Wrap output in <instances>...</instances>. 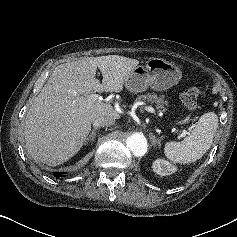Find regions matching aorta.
<instances>
[{
	"label": "aorta",
	"mask_w": 237,
	"mask_h": 237,
	"mask_svg": "<svg viewBox=\"0 0 237 237\" xmlns=\"http://www.w3.org/2000/svg\"><path fill=\"white\" fill-rule=\"evenodd\" d=\"M127 147L136 156H142L147 151V141L145 137L141 134H132L126 139Z\"/></svg>",
	"instance_id": "aorta-1"
}]
</instances>
